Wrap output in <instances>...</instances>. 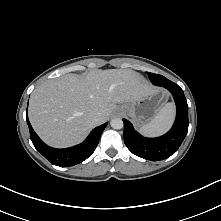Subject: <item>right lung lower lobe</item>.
Masks as SVG:
<instances>
[{"label": "right lung lower lobe", "mask_w": 221, "mask_h": 221, "mask_svg": "<svg viewBox=\"0 0 221 221\" xmlns=\"http://www.w3.org/2000/svg\"><path fill=\"white\" fill-rule=\"evenodd\" d=\"M30 137L34 147L53 165L70 167L81 163L92 155L98 145L101 133L107 123L93 129L89 136L79 145L66 149H55L46 145L34 132L26 115Z\"/></svg>", "instance_id": "98d812e1"}]
</instances>
